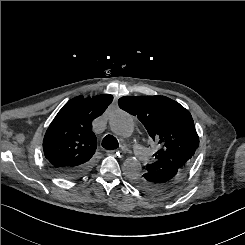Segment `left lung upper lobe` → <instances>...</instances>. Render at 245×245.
Listing matches in <instances>:
<instances>
[{
	"label": "left lung upper lobe",
	"instance_id": "left-lung-upper-lobe-1",
	"mask_svg": "<svg viewBox=\"0 0 245 245\" xmlns=\"http://www.w3.org/2000/svg\"><path fill=\"white\" fill-rule=\"evenodd\" d=\"M119 107L142 122L149 136L160 145L143 175L135 177L133 184L152 194L148 177L164 168L185 172L199 146V137L190 112L178 102L165 96H124Z\"/></svg>",
	"mask_w": 245,
	"mask_h": 245
}]
</instances>
